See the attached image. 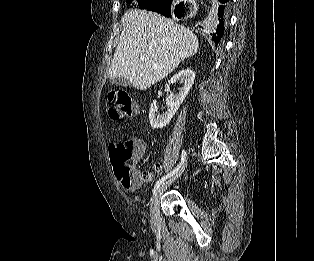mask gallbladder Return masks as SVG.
<instances>
[{"label":"gallbladder","instance_id":"bac80fb5","mask_svg":"<svg viewBox=\"0 0 314 261\" xmlns=\"http://www.w3.org/2000/svg\"><path fill=\"white\" fill-rule=\"evenodd\" d=\"M111 82L115 85L127 87L131 85V82L123 77L113 78Z\"/></svg>","mask_w":314,"mask_h":261}]
</instances>
